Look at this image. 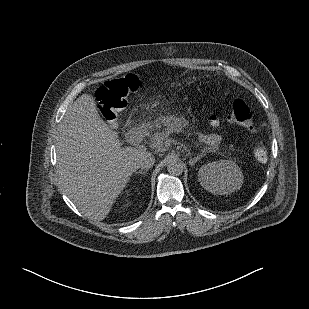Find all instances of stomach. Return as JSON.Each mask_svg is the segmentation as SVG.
<instances>
[{
	"label": "stomach",
	"instance_id": "obj_1",
	"mask_svg": "<svg viewBox=\"0 0 309 309\" xmlns=\"http://www.w3.org/2000/svg\"><path fill=\"white\" fill-rule=\"evenodd\" d=\"M186 123V120L183 117L170 116L164 117L162 119H157L152 122L155 126L166 125L168 128H181Z\"/></svg>",
	"mask_w": 309,
	"mask_h": 309
}]
</instances>
